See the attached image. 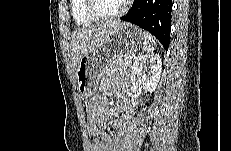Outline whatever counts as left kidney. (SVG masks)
Returning a JSON list of instances; mask_svg holds the SVG:
<instances>
[{
    "label": "left kidney",
    "mask_w": 231,
    "mask_h": 151,
    "mask_svg": "<svg viewBox=\"0 0 231 151\" xmlns=\"http://www.w3.org/2000/svg\"><path fill=\"white\" fill-rule=\"evenodd\" d=\"M162 60L157 54L139 55L131 67V82L150 93L154 92L160 80Z\"/></svg>",
    "instance_id": "left-kidney-1"
}]
</instances>
